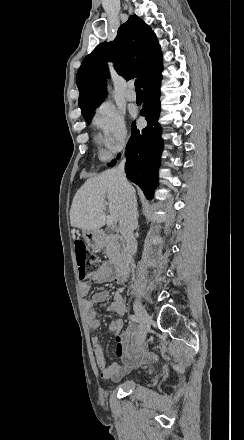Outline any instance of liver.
I'll list each match as a JSON object with an SVG mask.
<instances>
[{
  "label": "liver",
  "instance_id": "liver-1",
  "mask_svg": "<svg viewBox=\"0 0 244 440\" xmlns=\"http://www.w3.org/2000/svg\"><path fill=\"white\" fill-rule=\"evenodd\" d=\"M123 192L115 168L89 178L76 192L70 208V224L80 230H100L104 224V210L119 222L123 208ZM108 200V202H106Z\"/></svg>",
  "mask_w": 244,
  "mask_h": 440
}]
</instances>
